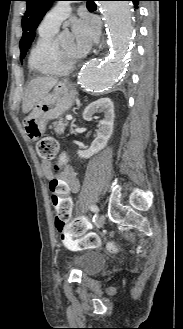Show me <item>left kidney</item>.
I'll list each match as a JSON object with an SVG mask.
<instances>
[{
  "mask_svg": "<svg viewBox=\"0 0 183 329\" xmlns=\"http://www.w3.org/2000/svg\"><path fill=\"white\" fill-rule=\"evenodd\" d=\"M97 112L104 113V119L99 121L97 136L88 150H78L80 158L88 159L102 150L108 143L113 133L114 124V104L110 98H101L90 103L83 112L86 121H92L93 115Z\"/></svg>",
  "mask_w": 183,
  "mask_h": 329,
  "instance_id": "left-kidney-1",
  "label": "left kidney"
}]
</instances>
